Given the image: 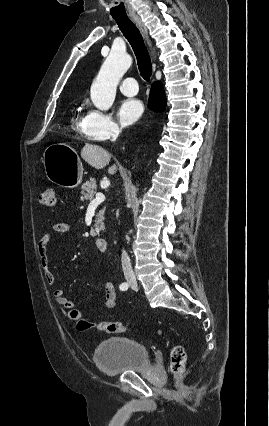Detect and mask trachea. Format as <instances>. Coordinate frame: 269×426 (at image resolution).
Wrapping results in <instances>:
<instances>
[{
  "instance_id": "obj_1",
  "label": "trachea",
  "mask_w": 269,
  "mask_h": 426,
  "mask_svg": "<svg viewBox=\"0 0 269 426\" xmlns=\"http://www.w3.org/2000/svg\"><path fill=\"white\" fill-rule=\"evenodd\" d=\"M114 19L135 53L142 78L149 81L152 75V64L139 29L127 17Z\"/></svg>"
}]
</instances>
